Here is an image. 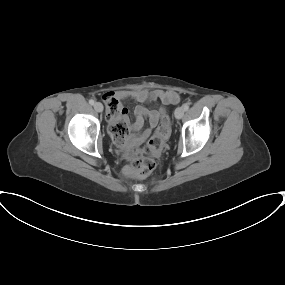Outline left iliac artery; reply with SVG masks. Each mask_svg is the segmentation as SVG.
<instances>
[{
	"label": "left iliac artery",
	"instance_id": "left-iliac-artery-1",
	"mask_svg": "<svg viewBox=\"0 0 285 285\" xmlns=\"http://www.w3.org/2000/svg\"><path fill=\"white\" fill-rule=\"evenodd\" d=\"M183 109H184V111H187L189 109V105L188 104H184L183 105Z\"/></svg>",
	"mask_w": 285,
	"mask_h": 285
}]
</instances>
